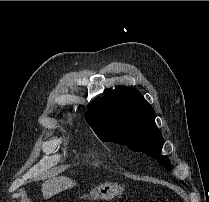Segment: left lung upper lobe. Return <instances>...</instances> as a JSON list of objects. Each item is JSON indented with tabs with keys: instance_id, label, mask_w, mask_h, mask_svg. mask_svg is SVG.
Listing matches in <instances>:
<instances>
[{
	"instance_id": "1",
	"label": "left lung upper lobe",
	"mask_w": 209,
	"mask_h": 202,
	"mask_svg": "<svg viewBox=\"0 0 209 202\" xmlns=\"http://www.w3.org/2000/svg\"><path fill=\"white\" fill-rule=\"evenodd\" d=\"M85 118L100 139L144 152L170 171V160L161 155L163 137L154 109L139 91L119 86L92 104Z\"/></svg>"
}]
</instances>
